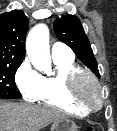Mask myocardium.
I'll use <instances>...</instances> for the list:
<instances>
[{
    "label": "myocardium",
    "mask_w": 117,
    "mask_h": 131,
    "mask_svg": "<svg viewBox=\"0 0 117 131\" xmlns=\"http://www.w3.org/2000/svg\"><path fill=\"white\" fill-rule=\"evenodd\" d=\"M88 82L93 85L95 90L92 96L84 91L85 84ZM67 88L72 99L90 110H98L104 104L103 87L98 78L88 70L80 69L72 73L68 78Z\"/></svg>",
    "instance_id": "f54148a6"
}]
</instances>
